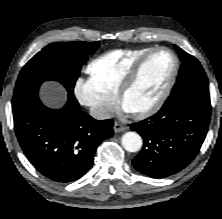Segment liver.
<instances>
[{
	"instance_id": "6515ba94",
	"label": "liver",
	"mask_w": 222,
	"mask_h": 219,
	"mask_svg": "<svg viewBox=\"0 0 222 219\" xmlns=\"http://www.w3.org/2000/svg\"><path fill=\"white\" fill-rule=\"evenodd\" d=\"M41 96L52 107H58L65 101L63 88L56 82H47L43 85Z\"/></svg>"
}]
</instances>
